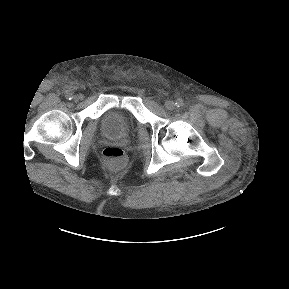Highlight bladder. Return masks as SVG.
<instances>
[{"mask_svg": "<svg viewBox=\"0 0 289 289\" xmlns=\"http://www.w3.org/2000/svg\"><path fill=\"white\" fill-rule=\"evenodd\" d=\"M135 120L128 113L112 109L107 111L101 121L102 133L108 138H124L135 129Z\"/></svg>", "mask_w": 289, "mask_h": 289, "instance_id": "bladder-1", "label": "bladder"}]
</instances>
